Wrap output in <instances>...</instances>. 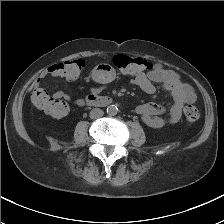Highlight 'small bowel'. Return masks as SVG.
<instances>
[{
  "label": "small bowel",
  "instance_id": "1",
  "mask_svg": "<svg viewBox=\"0 0 224 224\" xmlns=\"http://www.w3.org/2000/svg\"><path fill=\"white\" fill-rule=\"evenodd\" d=\"M56 67L57 63L50 65L42 71L33 81L32 87L35 90L41 89L40 86L43 79L49 75L61 77ZM91 77L100 85L91 88L85 99H73L63 89L56 90L54 96L70 101L78 106H83L89 97L99 95L115 79V72L109 65L100 64L92 70ZM130 81L142 91L151 95L156 93L155 83H161L172 96L173 104L168 110L167 117L163 116L167 112L166 107L160 104L147 103L139 105L136 108V113L140 116L141 120L151 128H161L165 125L177 123L181 118L183 105L185 103H192L196 99L192 87L185 83L176 72L165 68L161 64L153 65L150 71L133 76Z\"/></svg>",
  "mask_w": 224,
  "mask_h": 224
}]
</instances>
